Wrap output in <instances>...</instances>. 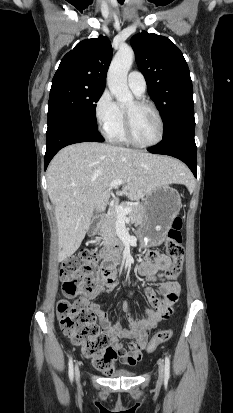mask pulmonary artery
Wrapping results in <instances>:
<instances>
[{"mask_svg": "<svg viewBox=\"0 0 233 413\" xmlns=\"http://www.w3.org/2000/svg\"><path fill=\"white\" fill-rule=\"evenodd\" d=\"M127 83L132 92L137 96H142L146 91V80L139 71H131L128 75Z\"/></svg>", "mask_w": 233, "mask_h": 413, "instance_id": "1", "label": "pulmonary artery"}]
</instances>
